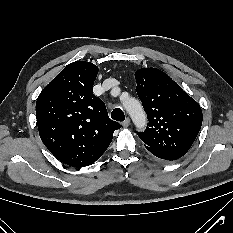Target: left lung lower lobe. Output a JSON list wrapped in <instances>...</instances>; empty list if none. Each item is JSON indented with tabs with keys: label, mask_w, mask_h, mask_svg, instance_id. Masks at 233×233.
I'll list each match as a JSON object with an SVG mask.
<instances>
[{
	"label": "left lung lower lobe",
	"mask_w": 233,
	"mask_h": 233,
	"mask_svg": "<svg viewBox=\"0 0 233 233\" xmlns=\"http://www.w3.org/2000/svg\"><path fill=\"white\" fill-rule=\"evenodd\" d=\"M145 147H146V149H147L148 151H150L153 155H155L156 157L161 158V159H165V160H176V159L180 158V156H177V155H173V154L161 152V151H158V150L153 149V148L148 147V146H145Z\"/></svg>",
	"instance_id": "0a47b994"
}]
</instances>
